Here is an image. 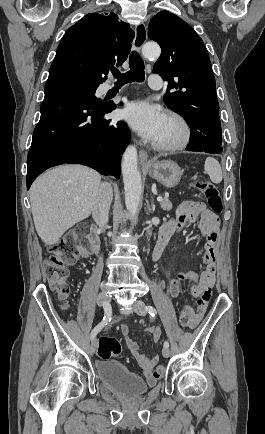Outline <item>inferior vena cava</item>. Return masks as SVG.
I'll use <instances>...</instances> for the list:
<instances>
[{"label":"inferior vena cava","mask_w":265,"mask_h":434,"mask_svg":"<svg viewBox=\"0 0 265 434\" xmlns=\"http://www.w3.org/2000/svg\"><path fill=\"white\" fill-rule=\"evenodd\" d=\"M113 200V190L111 184L103 182L100 184L99 192L96 196L95 204L93 206V220L99 226V230H105V226L108 222V214Z\"/></svg>","instance_id":"602c4592"}]
</instances>
